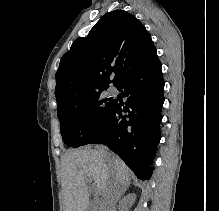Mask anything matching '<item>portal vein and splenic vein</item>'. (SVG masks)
<instances>
[{"mask_svg":"<svg viewBox=\"0 0 219 211\" xmlns=\"http://www.w3.org/2000/svg\"><path fill=\"white\" fill-rule=\"evenodd\" d=\"M97 191H98V189H97V187H95V189H94V191H93V193H94V195H95V199H97V197H98V195H99V193H97Z\"/></svg>","mask_w":219,"mask_h":211,"instance_id":"portal-vein-and-splenic-vein-1","label":"portal vein and splenic vein"}]
</instances>
